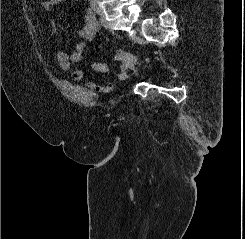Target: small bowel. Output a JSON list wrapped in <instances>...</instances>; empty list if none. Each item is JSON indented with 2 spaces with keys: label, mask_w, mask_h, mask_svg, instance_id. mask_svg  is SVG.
<instances>
[{
  "label": "small bowel",
  "mask_w": 245,
  "mask_h": 239,
  "mask_svg": "<svg viewBox=\"0 0 245 239\" xmlns=\"http://www.w3.org/2000/svg\"><path fill=\"white\" fill-rule=\"evenodd\" d=\"M66 0H44L42 1L41 5L43 9L50 11L53 9L56 5L64 3ZM99 25L97 23V20L95 18L94 13L88 9L86 13V24L83 29L78 31L77 35L78 37L84 39L82 41H79L74 46V51L71 53H66L63 51H59L56 55L57 61L59 66L63 70H69L74 63L79 62L82 59V55L84 51L88 48L89 43L94 41V39L98 35ZM54 34H57V29L54 27L53 29ZM114 59L117 61L120 65L118 68V71L115 75V80L118 82L125 81L128 77V71L130 67V60L122 49H117L114 53ZM92 68L97 72H104L109 73L110 68L106 64H102L99 62H93ZM84 77V73L80 69H74L72 70V78L75 81H81ZM86 87L92 91H96L99 93H109L114 88L113 82H107L100 84L95 79H92L87 82Z\"/></svg>",
  "instance_id": "1"
}]
</instances>
